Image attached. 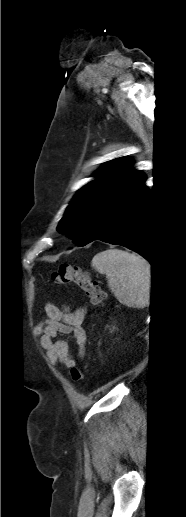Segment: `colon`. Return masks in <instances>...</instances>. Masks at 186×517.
I'll return each instance as SVG.
<instances>
[{
  "label": "colon",
  "instance_id": "obj_1",
  "mask_svg": "<svg viewBox=\"0 0 186 517\" xmlns=\"http://www.w3.org/2000/svg\"><path fill=\"white\" fill-rule=\"evenodd\" d=\"M52 279L56 284H73L82 289L91 303L101 306L105 300V293L100 287L99 282L91 280L81 268L69 264H62L53 273ZM71 378L75 382H80L84 378L81 368L73 366L70 370Z\"/></svg>",
  "mask_w": 186,
  "mask_h": 517
}]
</instances>
